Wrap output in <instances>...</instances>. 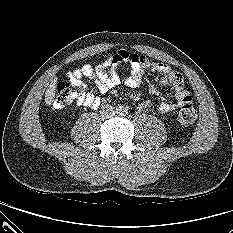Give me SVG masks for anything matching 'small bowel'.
<instances>
[{"mask_svg": "<svg viewBox=\"0 0 233 233\" xmlns=\"http://www.w3.org/2000/svg\"><path fill=\"white\" fill-rule=\"evenodd\" d=\"M121 63L130 65V71L124 79V84L129 88L138 87L146 71L157 72L161 75L160 83L164 87L171 86L174 91L175 102L162 101L158 105L161 113H169L185 104L192 103L190 93L185 89L183 78L180 73L172 69L169 65L155 61L147 56L138 55L127 50H119L108 57L104 62L92 67L85 64L67 74L71 85L77 90V105L97 109L101 105V98L90 91L83 82V78H91L95 81L100 93L104 94L121 84L122 79L116 71L108 74L105 69L112 66L114 70ZM150 101H144L140 107L148 109Z\"/></svg>", "mask_w": 233, "mask_h": 233, "instance_id": "obj_1", "label": "small bowel"}]
</instances>
